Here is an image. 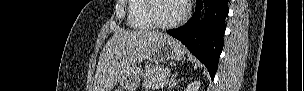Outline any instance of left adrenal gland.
Wrapping results in <instances>:
<instances>
[{
    "label": "left adrenal gland",
    "mask_w": 304,
    "mask_h": 91,
    "mask_svg": "<svg viewBox=\"0 0 304 91\" xmlns=\"http://www.w3.org/2000/svg\"><path fill=\"white\" fill-rule=\"evenodd\" d=\"M178 82H179V80L178 81L176 80V73H175V74H173V76L170 79V82L168 84V89L174 87Z\"/></svg>",
    "instance_id": "a2214340"
}]
</instances>
